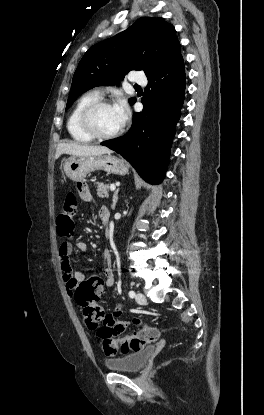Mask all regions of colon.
Returning a JSON list of instances; mask_svg holds the SVG:
<instances>
[{"label": "colon", "instance_id": "obj_1", "mask_svg": "<svg viewBox=\"0 0 264 415\" xmlns=\"http://www.w3.org/2000/svg\"><path fill=\"white\" fill-rule=\"evenodd\" d=\"M77 199L68 194L57 217V233L61 238L70 239L75 233L74 216L77 212ZM100 282L89 278L81 283L75 294V301L81 309L82 317L89 330L97 332L101 348L106 355H116L136 352L149 343L156 342L159 332L156 328L143 325L138 331L123 338L113 337L105 327V314L100 307ZM138 323V321H137Z\"/></svg>", "mask_w": 264, "mask_h": 415}]
</instances>
